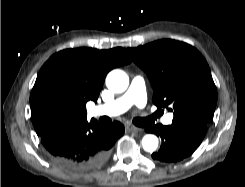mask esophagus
<instances>
[{
  "label": "esophagus",
  "instance_id": "obj_1",
  "mask_svg": "<svg viewBox=\"0 0 245 187\" xmlns=\"http://www.w3.org/2000/svg\"><path fill=\"white\" fill-rule=\"evenodd\" d=\"M125 128H126V130H127L128 132H141V131H142L141 128L136 127V126H134V125H132V124H127V125L125 126Z\"/></svg>",
  "mask_w": 245,
  "mask_h": 187
}]
</instances>
